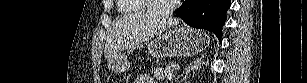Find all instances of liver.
Here are the masks:
<instances>
[{
  "mask_svg": "<svg viewBox=\"0 0 307 83\" xmlns=\"http://www.w3.org/2000/svg\"><path fill=\"white\" fill-rule=\"evenodd\" d=\"M178 23L179 20L176 18L157 16L148 12L123 17L112 26L107 36L104 55L107 59L113 57L122 49L160 35Z\"/></svg>",
  "mask_w": 307,
  "mask_h": 83,
  "instance_id": "6515ba94",
  "label": "liver"
}]
</instances>
